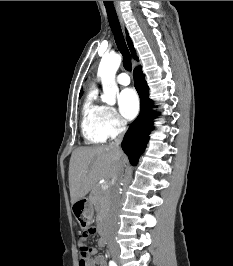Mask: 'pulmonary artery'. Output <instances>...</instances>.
I'll return each mask as SVG.
<instances>
[{
	"mask_svg": "<svg viewBox=\"0 0 233 266\" xmlns=\"http://www.w3.org/2000/svg\"><path fill=\"white\" fill-rule=\"evenodd\" d=\"M116 81L117 83H119L120 85H129L130 84V77L128 76L127 73H120L117 75L116 77Z\"/></svg>",
	"mask_w": 233,
	"mask_h": 266,
	"instance_id": "1",
	"label": "pulmonary artery"
}]
</instances>
